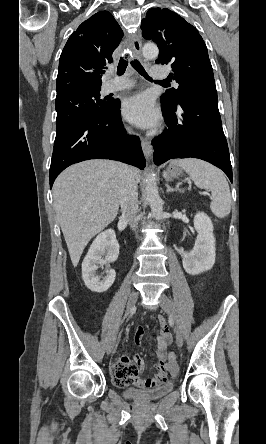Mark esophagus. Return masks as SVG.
I'll list each match as a JSON object with an SVG mask.
<instances>
[{
  "label": "esophagus",
  "instance_id": "34e87169",
  "mask_svg": "<svg viewBox=\"0 0 266 444\" xmlns=\"http://www.w3.org/2000/svg\"><path fill=\"white\" fill-rule=\"evenodd\" d=\"M132 49H133L134 54L140 55L141 49H142V42H141V38L139 36L133 37ZM141 146H142V150H143L145 158L147 160L151 159L152 153H153L151 141L144 138V137H141Z\"/></svg>",
  "mask_w": 266,
  "mask_h": 444
}]
</instances>
